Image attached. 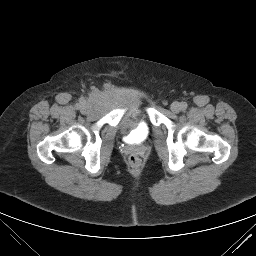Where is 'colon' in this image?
Returning a JSON list of instances; mask_svg holds the SVG:
<instances>
[{"label":"colon","instance_id":"1","mask_svg":"<svg viewBox=\"0 0 256 256\" xmlns=\"http://www.w3.org/2000/svg\"><path fill=\"white\" fill-rule=\"evenodd\" d=\"M128 162H129V164H130L132 167H134V168L139 167L140 164H141L140 158H139L137 155H135V154H131V155L129 156Z\"/></svg>","mask_w":256,"mask_h":256}]
</instances>
